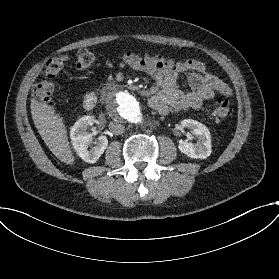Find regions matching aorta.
<instances>
[{"label":"aorta","instance_id":"762f6f07","mask_svg":"<svg viewBox=\"0 0 279 279\" xmlns=\"http://www.w3.org/2000/svg\"><path fill=\"white\" fill-rule=\"evenodd\" d=\"M109 115L120 122L139 123L142 119L138 100L127 91L113 94L108 101Z\"/></svg>","mask_w":279,"mask_h":279}]
</instances>
